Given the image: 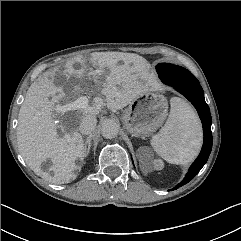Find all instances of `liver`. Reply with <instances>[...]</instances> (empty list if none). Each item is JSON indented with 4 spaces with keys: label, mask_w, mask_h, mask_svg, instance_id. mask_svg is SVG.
I'll use <instances>...</instances> for the list:
<instances>
[{
    "label": "liver",
    "mask_w": 241,
    "mask_h": 241,
    "mask_svg": "<svg viewBox=\"0 0 241 241\" xmlns=\"http://www.w3.org/2000/svg\"><path fill=\"white\" fill-rule=\"evenodd\" d=\"M90 61L96 70L87 72L84 64L76 70L73 62H68L64 75L75 76L81 81H93L101 88V93L111 110L123 109L139 95L150 90V65L139 55L101 52L93 53ZM120 61L122 64H119ZM105 68L109 69V73L103 76ZM53 75L54 72H46L29 87L19 111L17 142L22 157L31 169L38 168V171H35L38 175L52 183L61 184L76 179L75 172L81 170V165L76 161H83L86 157L84 140L77 125L80 124L83 115L99 114L103 100L96 97L91 105L79 109H70L66 104L65 119L70 120L74 116L76 127L72 130L71 136L65 139L58 138L54 105L59 99H70L77 95L81 87L76 85L71 91L69 86H56L53 80L48 78ZM73 110L77 111L72 112ZM47 158L52 161V176L40 169L41 163Z\"/></svg>",
    "instance_id": "liver-1"
}]
</instances>
